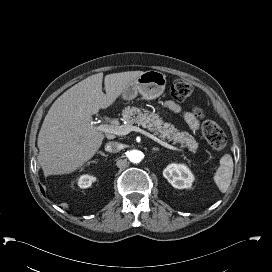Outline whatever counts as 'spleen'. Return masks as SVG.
Wrapping results in <instances>:
<instances>
[{
  "label": "spleen",
  "instance_id": "obj_1",
  "mask_svg": "<svg viewBox=\"0 0 272 272\" xmlns=\"http://www.w3.org/2000/svg\"><path fill=\"white\" fill-rule=\"evenodd\" d=\"M233 160L230 154L220 159V166L214 176V181L221 192H226L230 186L233 175Z\"/></svg>",
  "mask_w": 272,
  "mask_h": 272
}]
</instances>
